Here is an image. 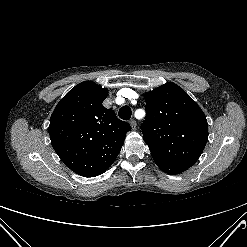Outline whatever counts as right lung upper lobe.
I'll use <instances>...</instances> for the list:
<instances>
[{
    "mask_svg": "<svg viewBox=\"0 0 247 247\" xmlns=\"http://www.w3.org/2000/svg\"><path fill=\"white\" fill-rule=\"evenodd\" d=\"M108 90L91 81L71 89L50 118L49 135L60 159L75 173L94 177L115 161L131 126L102 102Z\"/></svg>",
    "mask_w": 247,
    "mask_h": 247,
    "instance_id": "cb5924a9",
    "label": "right lung upper lobe"
}]
</instances>
